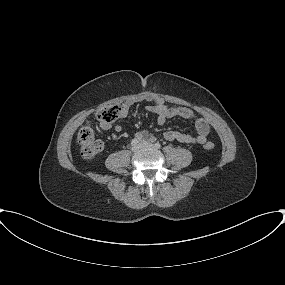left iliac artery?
I'll list each match as a JSON object with an SVG mask.
<instances>
[{"instance_id":"obj_1","label":"left iliac artery","mask_w":285,"mask_h":285,"mask_svg":"<svg viewBox=\"0 0 285 285\" xmlns=\"http://www.w3.org/2000/svg\"><path fill=\"white\" fill-rule=\"evenodd\" d=\"M151 142H153L152 140H150ZM155 147L157 148V149H159L160 147H161V144L160 143H155Z\"/></svg>"}]
</instances>
